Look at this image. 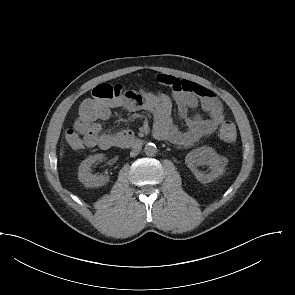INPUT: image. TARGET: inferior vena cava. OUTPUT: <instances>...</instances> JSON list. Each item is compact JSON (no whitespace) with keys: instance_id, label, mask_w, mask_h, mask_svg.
I'll list each match as a JSON object with an SVG mask.
<instances>
[{"instance_id":"obj_1","label":"inferior vena cava","mask_w":295,"mask_h":295,"mask_svg":"<svg viewBox=\"0 0 295 295\" xmlns=\"http://www.w3.org/2000/svg\"><path fill=\"white\" fill-rule=\"evenodd\" d=\"M140 150H141V146L140 145L133 146V149H132V151L130 153V156L131 157L137 156L139 154Z\"/></svg>"}]
</instances>
